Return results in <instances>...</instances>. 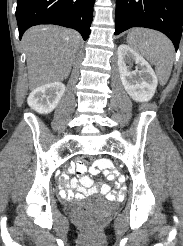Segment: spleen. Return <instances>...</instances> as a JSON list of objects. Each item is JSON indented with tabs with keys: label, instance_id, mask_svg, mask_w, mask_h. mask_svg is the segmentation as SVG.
<instances>
[{
	"label": "spleen",
	"instance_id": "1",
	"mask_svg": "<svg viewBox=\"0 0 183 246\" xmlns=\"http://www.w3.org/2000/svg\"><path fill=\"white\" fill-rule=\"evenodd\" d=\"M128 42L156 66L159 82L165 85L170 77L175 56L170 39L151 29H134L128 35Z\"/></svg>",
	"mask_w": 183,
	"mask_h": 246
}]
</instances>
